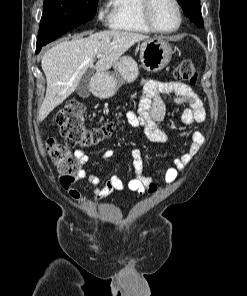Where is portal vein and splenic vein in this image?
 I'll use <instances>...</instances> for the list:
<instances>
[{"label":"portal vein and splenic vein","instance_id":"18ae733b","mask_svg":"<svg viewBox=\"0 0 247 296\" xmlns=\"http://www.w3.org/2000/svg\"><path fill=\"white\" fill-rule=\"evenodd\" d=\"M97 57L100 58L101 57V54H98Z\"/></svg>","mask_w":247,"mask_h":296}]
</instances>
